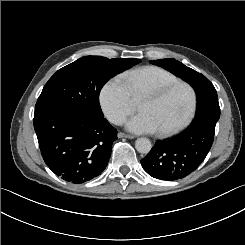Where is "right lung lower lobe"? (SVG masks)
I'll list each match as a JSON object with an SVG mask.
<instances>
[{
    "label": "right lung lower lobe",
    "mask_w": 245,
    "mask_h": 245,
    "mask_svg": "<svg viewBox=\"0 0 245 245\" xmlns=\"http://www.w3.org/2000/svg\"><path fill=\"white\" fill-rule=\"evenodd\" d=\"M34 129L47 166L72 183L100 175L117 139V130L106 119L68 108L35 112Z\"/></svg>",
    "instance_id": "1"
}]
</instances>
